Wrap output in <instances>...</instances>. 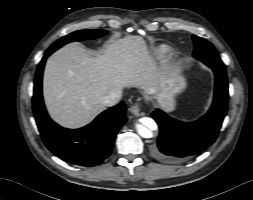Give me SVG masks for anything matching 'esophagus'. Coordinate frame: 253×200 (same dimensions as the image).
<instances>
[{
	"label": "esophagus",
	"instance_id": "34e87169",
	"mask_svg": "<svg viewBox=\"0 0 253 200\" xmlns=\"http://www.w3.org/2000/svg\"><path fill=\"white\" fill-rule=\"evenodd\" d=\"M129 111H130L133 115H135V116H137V117H139V116L142 115L141 110H140V105H139L138 103H135L134 105H132V106L129 108Z\"/></svg>",
	"mask_w": 253,
	"mask_h": 200
}]
</instances>
